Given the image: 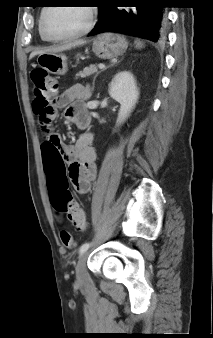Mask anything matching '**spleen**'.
<instances>
[{
    "mask_svg": "<svg viewBox=\"0 0 213 338\" xmlns=\"http://www.w3.org/2000/svg\"><path fill=\"white\" fill-rule=\"evenodd\" d=\"M135 44H136V47L138 48L142 47V43L139 40L135 41Z\"/></svg>",
    "mask_w": 213,
    "mask_h": 338,
    "instance_id": "spleen-1",
    "label": "spleen"
}]
</instances>
